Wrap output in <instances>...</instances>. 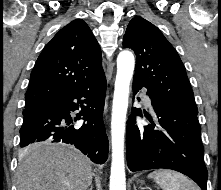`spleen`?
Returning <instances> with one entry per match:
<instances>
[{"instance_id": "obj_1", "label": "spleen", "mask_w": 221, "mask_h": 190, "mask_svg": "<svg viewBox=\"0 0 221 190\" xmlns=\"http://www.w3.org/2000/svg\"><path fill=\"white\" fill-rule=\"evenodd\" d=\"M162 190H200L199 187L181 173L160 169L148 175Z\"/></svg>"}]
</instances>
